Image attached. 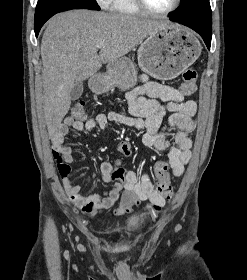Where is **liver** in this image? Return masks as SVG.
<instances>
[{"instance_id": "obj_1", "label": "liver", "mask_w": 247, "mask_h": 280, "mask_svg": "<svg viewBox=\"0 0 247 280\" xmlns=\"http://www.w3.org/2000/svg\"><path fill=\"white\" fill-rule=\"evenodd\" d=\"M169 22L116 13L71 10L49 22L41 41L44 77V114L49 136L60 127L71 105L76 81L93 76L102 63H111L131 51ZM102 43L98 54L97 44Z\"/></svg>"}]
</instances>
